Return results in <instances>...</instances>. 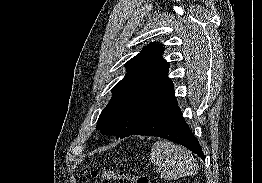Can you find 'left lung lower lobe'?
<instances>
[{
  "label": "left lung lower lobe",
  "mask_w": 262,
  "mask_h": 183,
  "mask_svg": "<svg viewBox=\"0 0 262 183\" xmlns=\"http://www.w3.org/2000/svg\"><path fill=\"white\" fill-rule=\"evenodd\" d=\"M132 135L156 136L174 141L205 160L199 142L182 117L174 95L166 100L152 114L147 123Z\"/></svg>",
  "instance_id": "left-lung-lower-lobe-1"
}]
</instances>
